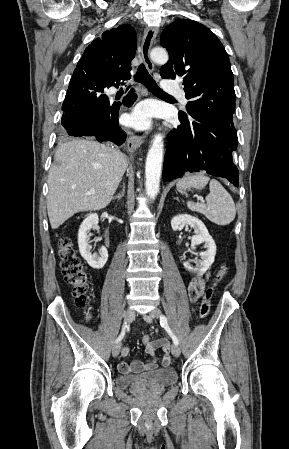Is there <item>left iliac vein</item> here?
Here are the masks:
<instances>
[{
  "label": "left iliac vein",
  "mask_w": 289,
  "mask_h": 449,
  "mask_svg": "<svg viewBox=\"0 0 289 449\" xmlns=\"http://www.w3.org/2000/svg\"><path fill=\"white\" fill-rule=\"evenodd\" d=\"M161 316V311L158 308H154L152 309L148 314H144V320L147 321L148 323H151L153 318H159ZM171 352L172 355L174 357H179L180 356V348L178 347V345L173 344L171 347Z\"/></svg>",
  "instance_id": "left-iliac-vein-1"
}]
</instances>
